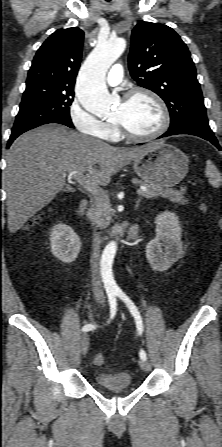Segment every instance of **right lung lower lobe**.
<instances>
[{"label": "right lung lower lobe", "instance_id": "obj_1", "mask_svg": "<svg viewBox=\"0 0 222 447\" xmlns=\"http://www.w3.org/2000/svg\"><path fill=\"white\" fill-rule=\"evenodd\" d=\"M50 123H59V124L66 125V126H68V127H70V128H73V127H74L71 121L55 120V121L50 122ZM24 132H25V131H24ZM22 133H23V132H21V133L11 134L10 139H9V141H8V144H7V148H9L10 145L12 144V142H13V141H14L20 134H22Z\"/></svg>", "mask_w": 222, "mask_h": 447}]
</instances>
